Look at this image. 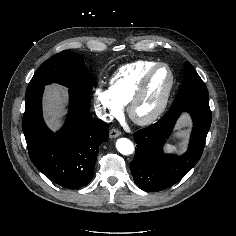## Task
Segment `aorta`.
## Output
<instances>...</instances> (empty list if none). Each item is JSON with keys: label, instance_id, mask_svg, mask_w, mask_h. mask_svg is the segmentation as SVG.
Listing matches in <instances>:
<instances>
[{"label": "aorta", "instance_id": "aorta-1", "mask_svg": "<svg viewBox=\"0 0 236 236\" xmlns=\"http://www.w3.org/2000/svg\"><path fill=\"white\" fill-rule=\"evenodd\" d=\"M116 148L123 155H130L134 152V145L127 138L118 139L116 141Z\"/></svg>", "mask_w": 236, "mask_h": 236}]
</instances>
